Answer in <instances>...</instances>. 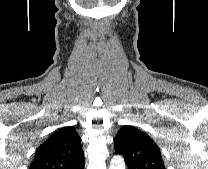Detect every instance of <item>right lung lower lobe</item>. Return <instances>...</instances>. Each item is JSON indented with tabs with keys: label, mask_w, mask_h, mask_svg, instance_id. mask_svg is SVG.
Instances as JSON below:
<instances>
[{
	"label": "right lung lower lobe",
	"mask_w": 208,
	"mask_h": 169,
	"mask_svg": "<svg viewBox=\"0 0 208 169\" xmlns=\"http://www.w3.org/2000/svg\"><path fill=\"white\" fill-rule=\"evenodd\" d=\"M76 169H84V164L81 165L80 167H77Z\"/></svg>",
	"instance_id": "1"
}]
</instances>
